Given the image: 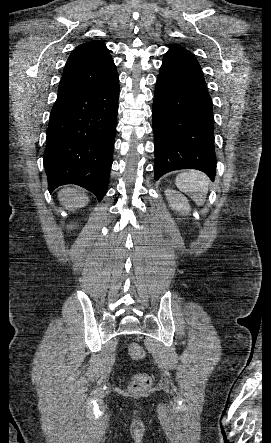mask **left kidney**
Instances as JSON below:
<instances>
[{"label": "left kidney", "mask_w": 271, "mask_h": 443, "mask_svg": "<svg viewBox=\"0 0 271 443\" xmlns=\"http://www.w3.org/2000/svg\"><path fill=\"white\" fill-rule=\"evenodd\" d=\"M165 196H167L172 210H179V212H184L188 214L190 206L188 204L187 198L179 192H174V190H165Z\"/></svg>", "instance_id": "obj_1"}]
</instances>
